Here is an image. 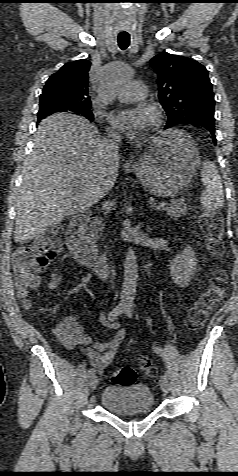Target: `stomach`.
Listing matches in <instances>:
<instances>
[{
    "instance_id": "stomach-1",
    "label": "stomach",
    "mask_w": 238,
    "mask_h": 476,
    "mask_svg": "<svg viewBox=\"0 0 238 476\" xmlns=\"http://www.w3.org/2000/svg\"><path fill=\"white\" fill-rule=\"evenodd\" d=\"M199 163V153L186 133L170 130L149 143L133 171L151 193L167 197L189 184Z\"/></svg>"
}]
</instances>
